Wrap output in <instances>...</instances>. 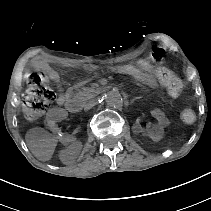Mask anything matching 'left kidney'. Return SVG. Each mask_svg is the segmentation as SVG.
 I'll return each instance as SVG.
<instances>
[{
  "label": "left kidney",
  "mask_w": 211,
  "mask_h": 211,
  "mask_svg": "<svg viewBox=\"0 0 211 211\" xmlns=\"http://www.w3.org/2000/svg\"><path fill=\"white\" fill-rule=\"evenodd\" d=\"M152 117L155 125L146 126L147 117L144 114H139L136 117L134 130L137 133H142L146 137L161 136L164 133L165 128H169L172 125V120L169 117H164L163 111L160 108H155L152 111Z\"/></svg>",
  "instance_id": "obj_1"
}]
</instances>
